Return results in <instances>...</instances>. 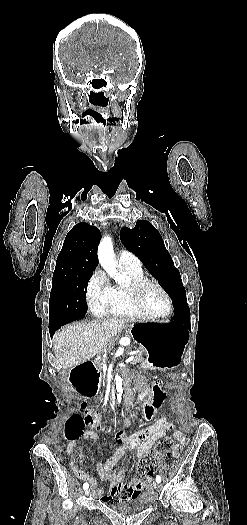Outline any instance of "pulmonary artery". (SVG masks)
I'll return each instance as SVG.
<instances>
[{"label":"pulmonary artery","mask_w":247,"mask_h":525,"mask_svg":"<svg viewBox=\"0 0 247 525\" xmlns=\"http://www.w3.org/2000/svg\"><path fill=\"white\" fill-rule=\"evenodd\" d=\"M131 256H132V254L126 249H122L118 253V258L119 259H121L124 262H127L129 264H134Z\"/></svg>","instance_id":"1"}]
</instances>
